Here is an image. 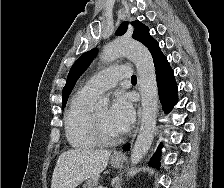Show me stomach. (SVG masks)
Here are the masks:
<instances>
[{
    "label": "stomach",
    "mask_w": 224,
    "mask_h": 188,
    "mask_svg": "<svg viewBox=\"0 0 224 188\" xmlns=\"http://www.w3.org/2000/svg\"><path fill=\"white\" fill-rule=\"evenodd\" d=\"M111 164H112V166H114L116 168H120L123 165V159L112 158L111 159Z\"/></svg>",
    "instance_id": "0dacf381"
}]
</instances>
